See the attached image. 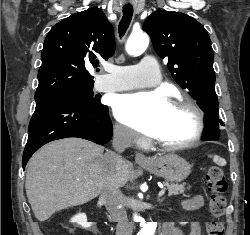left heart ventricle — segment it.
I'll use <instances>...</instances> for the list:
<instances>
[{"mask_svg":"<svg viewBox=\"0 0 250 235\" xmlns=\"http://www.w3.org/2000/svg\"><path fill=\"white\" fill-rule=\"evenodd\" d=\"M194 129L195 118L188 109L169 106L152 136L166 143H177L188 140Z\"/></svg>","mask_w":250,"mask_h":235,"instance_id":"1","label":"left heart ventricle"}]
</instances>
